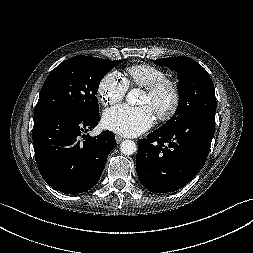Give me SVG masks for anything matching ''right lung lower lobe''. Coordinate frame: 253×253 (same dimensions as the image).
Segmentation results:
<instances>
[{
	"mask_svg": "<svg viewBox=\"0 0 253 253\" xmlns=\"http://www.w3.org/2000/svg\"><path fill=\"white\" fill-rule=\"evenodd\" d=\"M99 120V114L83 118L51 111L34 116L36 163L43 179L55 190L82 193L100 179L116 141L110 131L95 137L85 134L97 126Z\"/></svg>",
	"mask_w": 253,
	"mask_h": 253,
	"instance_id": "obj_1",
	"label": "right lung lower lobe"
}]
</instances>
